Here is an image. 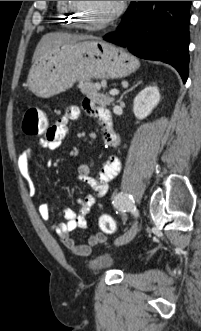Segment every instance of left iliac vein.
Returning a JSON list of instances; mask_svg holds the SVG:
<instances>
[{
    "label": "left iliac vein",
    "mask_w": 201,
    "mask_h": 331,
    "mask_svg": "<svg viewBox=\"0 0 201 331\" xmlns=\"http://www.w3.org/2000/svg\"><path fill=\"white\" fill-rule=\"evenodd\" d=\"M140 223L136 221L133 226L127 230L124 234L119 236L115 241L114 244L117 246L124 245L129 243L137 234L139 230Z\"/></svg>",
    "instance_id": "1"
}]
</instances>
